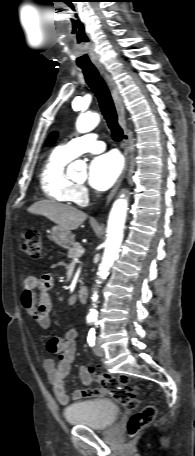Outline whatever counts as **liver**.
Listing matches in <instances>:
<instances>
[{
	"mask_svg": "<svg viewBox=\"0 0 195 456\" xmlns=\"http://www.w3.org/2000/svg\"><path fill=\"white\" fill-rule=\"evenodd\" d=\"M29 212L42 215L69 232L77 229L87 218L83 211L53 200L35 202L29 208Z\"/></svg>",
	"mask_w": 195,
	"mask_h": 456,
	"instance_id": "liver-1",
	"label": "liver"
}]
</instances>
